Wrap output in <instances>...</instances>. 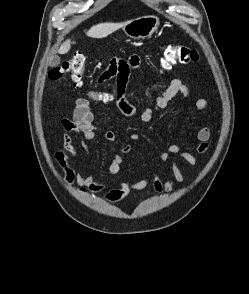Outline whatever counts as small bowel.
<instances>
[{"label":"small bowel","instance_id":"small-bowel-1","mask_svg":"<svg viewBox=\"0 0 249 294\" xmlns=\"http://www.w3.org/2000/svg\"><path fill=\"white\" fill-rule=\"evenodd\" d=\"M127 71L119 76L106 75L104 72L98 77L97 83L103 84L113 77H116V95L115 104L119 111L126 117L137 115L136 108L126 98V89L129 82L130 71L137 67L138 58L133 57L127 61ZM178 94L183 96V103L187 104L193 101V95L190 89L178 78L174 77L163 94L156 98L152 107H147L138 113V117L143 122H149L153 119L156 111L165 110L169 107V102ZM195 107L202 112L208 108V102L205 99L195 101ZM65 132L62 135V147L56 151L55 159L66 173V184L75 183L79 187L81 194H96L102 191L106 186V181L97 178L94 175L87 174L85 171L77 172L70 163V160L77 156V148L72 139L71 133H77L81 138V146L88 151L87 142L95 138L96 126L94 124V114L91 109V103L86 97H78L76 99V110L73 119L64 121ZM105 137L108 141L114 142L116 134L113 131H107ZM131 139L136 140L139 135L132 134ZM196 145L195 151L205 155L208 152V141L211 139V130L208 127L200 128L195 135ZM131 151V146H113L111 153V161L108 166V174L110 176H118L121 172L123 158L120 152L127 153ZM159 159L162 163L169 164V176L162 178L155 172H148L139 179H134L130 175H121L119 178L120 187L113 189L105 195L107 202L118 201L122 196L131 190L141 191L148 186H152L153 190L158 193H170L174 190V185L183 184L185 176L178 166V161L183 160L189 166L197 165L196 157L190 153L183 151L178 144L171 143L166 149L160 153Z\"/></svg>","mask_w":249,"mask_h":294}]
</instances>
